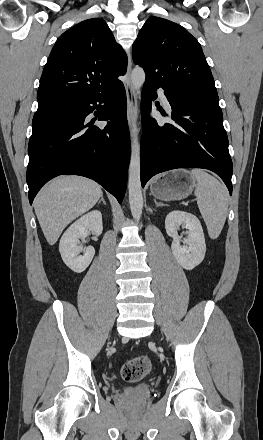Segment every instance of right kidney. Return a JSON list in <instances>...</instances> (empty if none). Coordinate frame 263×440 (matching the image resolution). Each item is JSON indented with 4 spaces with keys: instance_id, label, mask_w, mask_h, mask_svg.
<instances>
[{
    "instance_id": "ca27d5eb",
    "label": "right kidney",
    "mask_w": 263,
    "mask_h": 440,
    "mask_svg": "<svg viewBox=\"0 0 263 440\" xmlns=\"http://www.w3.org/2000/svg\"><path fill=\"white\" fill-rule=\"evenodd\" d=\"M91 230L95 235H100L103 230L102 214L93 210L75 221L62 235L59 251L64 263L74 272H83L91 263L95 249L92 246L83 248L79 246V239ZM84 252V255L79 254Z\"/></svg>"
}]
</instances>
